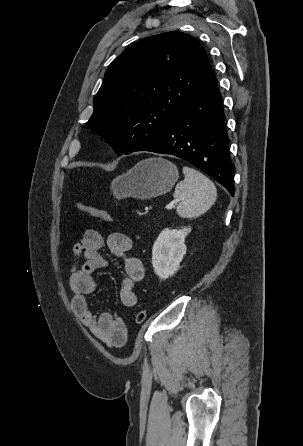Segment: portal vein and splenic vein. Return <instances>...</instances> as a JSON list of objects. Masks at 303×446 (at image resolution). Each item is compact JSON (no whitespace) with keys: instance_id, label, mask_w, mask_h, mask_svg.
I'll return each instance as SVG.
<instances>
[{"instance_id":"18ae733b","label":"portal vein and splenic vein","mask_w":303,"mask_h":446,"mask_svg":"<svg viewBox=\"0 0 303 446\" xmlns=\"http://www.w3.org/2000/svg\"><path fill=\"white\" fill-rule=\"evenodd\" d=\"M165 208H166L167 210H171V209H173V208H174V203H171V204L166 205Z\"/></svg>"}]
</instances>
